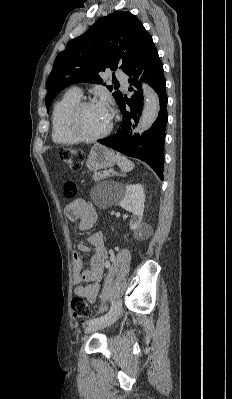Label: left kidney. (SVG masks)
Listing matches in <instances>:
<instances>
[{
    "label": "left kidney",
    "mask_w": 232,
    "mask_h": 399,
    "mask_svg": "<svg viewBox=\"0 0 232 399\" xmlns=\"http://www.w3.org/2000/svg\"><path fill=\"white\" fill-rule=\"evenodd\" d=\"M120 192L121 207H124L126 211H132V213L138 217L135 223H133L131 219L129 223L130 229H134V235L137 239H144L147 235L149 225H147V223H141L145 201L143 186H141V184H131V186L121 184Z\"/></svg>",
    "instance_id": "1"
}]
</instances>
